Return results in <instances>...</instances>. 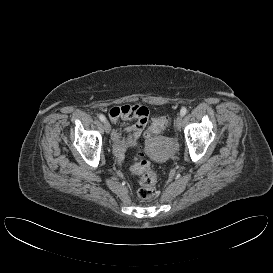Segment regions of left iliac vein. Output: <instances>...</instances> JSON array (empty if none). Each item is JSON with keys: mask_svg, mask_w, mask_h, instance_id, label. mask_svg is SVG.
<instances>
[{"mask_svg": "<svg viewBox=\"0 0 273 273\" xmlns=\"http://www.w3.org/2000/svg\"><path fill=\"white\" fill-rule=\"evenodd\" d=\"M175 125L177 130H180L183 126V116L180 114L176 117Z\"/></svg>", "mask_w": 273, "mask_h": 273, "instance_id": "1", "label": "left iliac vein"}]
</instances>
